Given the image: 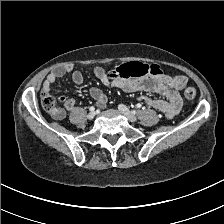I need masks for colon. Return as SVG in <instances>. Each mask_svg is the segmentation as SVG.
<instances>
[{
	"label": "colon",
	"mask_w": 224,
	"mask_h": 224,
	"mask_svg": "<svg viewBox=\"0 0 224 224\" xmlns=\"http://www.w3.org/2000/svg\"><path fill=\"white\" fill-rule=\"evenodd\" d=\"M161 68L157 64H143V63H129L112 72L114 78H135L145 77L148 75L160 74ZM196 89L194 87L186 86L183 88V95L187 100H193L196 97ZM64 97H54L50 93L42 94V104L44 108L51 112L57 113L59 111V105L63 102Z\"/></svg>",
	"instance_id": "5ec220e1"
}]
</instances>
